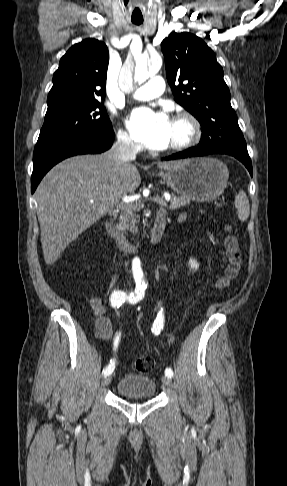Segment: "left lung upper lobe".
Here are the masks:
<instances>
[{
    "label": "left lung upper lobe",
    "instance_id": "left-lung-upper-lobe-1",
    "mask_svg": "<svg viewBox=\"0 0 287 486\" xmlns=\"http://www.w3.org/2000/svg\"><path fill=\"white\" fill-rule=\"evenodd\" d=\"M161 50L175 101L201 124L199 148L247 152L223 69L211 48L196 35L173 32Z\"/></svg>",
    "mask_w": 287,
    "mask_h": 486
}]
</instances>
